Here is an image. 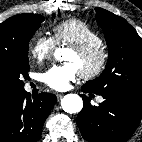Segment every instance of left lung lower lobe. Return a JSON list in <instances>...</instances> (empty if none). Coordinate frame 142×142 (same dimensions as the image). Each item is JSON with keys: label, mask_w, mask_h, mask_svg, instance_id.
Here are the masks:
<instances>
[{"label": "left lung lower lobe", "mask_w": 142, "mask_h": 142, "mask_svg": "<svg viewBox=\"0 0 142 142\" xmlns=\"http://www.w3.org/2000/svg\"><path fill=\"white\" fill-rule=\"evenodd\" d=\"M85 93H93L82 87ZM77 116L81 135L88 142H126L137 129L142 117V102L128 97L102 95L104 101L93 106L86 95Z\"/></svg>", "instance_id": "1"}]
</instances>
